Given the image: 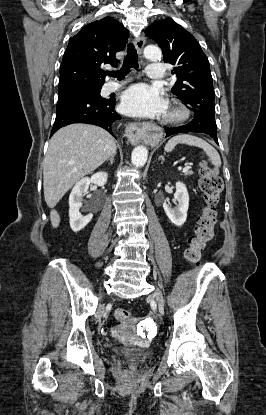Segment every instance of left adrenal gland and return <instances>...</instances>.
<instances>
[{
  "mask_svg": "<svg viewBox=\"0 0 266 415\" xmlns=\"http://www.w3.org/2000/svg\"><path fill=\"white\" fill-rule=\"evenodd\" d=\"M159 160H162V162L164 161V157L163 156H160L159 157Z\"/></svg>",
  "mask_w": 266,
  "mask_h": 415,
  "instance_id": "obj_1",
  "label": "left adrenal gland"
}]
</instances>
